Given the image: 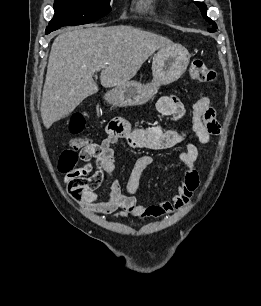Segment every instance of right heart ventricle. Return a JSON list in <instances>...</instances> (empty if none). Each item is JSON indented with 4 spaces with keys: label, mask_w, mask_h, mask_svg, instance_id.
Wrapping results in <instances>:
<instances>
[{
    "label": "right heart ventricle",
    "mask_w": 261,
    "mask_h": 306,
    "mask_svg": "<svg viewBox=\"0 0 261 306\" xmlns=\"http://www.w3.org/2000/svg\"><path fill=\"white\" fill-rule=\"evenodd\" d=\"M155 0H137L136 5L140 9H147L154 4Z\"/></svg>",
    "instance_id": "1"
}]
</instances>
